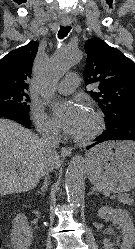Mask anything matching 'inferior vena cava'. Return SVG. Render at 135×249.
Here are the masks:
<instances>
[{"label": "inferior vena cava", "mask_w": 135, "mask_h": 249, "mask_svg": "<svg viewBox=\"0 0 135 249\" xmlns=\"http://www.w3.org/2000/svg\"><path fill=\"white\" fill-rule=\"evenodd\" d=\"M41 135H42L41 140L44 146L53 157L54 155H56V149L59 147V144L61 142L59 130L52 126H45L43 129H41ZM53 168H54V163L53 161H51L47 166L44 175L47 176L48 173L53 170Z\"/></svg>", "instance_id": "obj_1"}]
</instances>
